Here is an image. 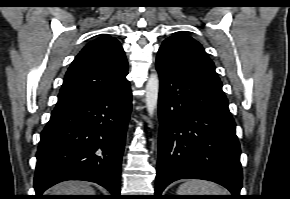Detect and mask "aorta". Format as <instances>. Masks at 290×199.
<instances>
[{"label":"aorta","instance_id":"1","mask_svg":"<svg viewBox=\"0 0 290 199\" xmlns=\"http://www.w3.org/2000/svg\"><path fill=\"white\" fill-rule=\"evenodd\" d=\"M145 102L149 116H153L157 108L159 95V77L157 73H152L145 87Z\"/></svg>","mask_w":290,"mask_h":199}]
</instances>
